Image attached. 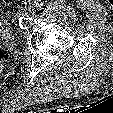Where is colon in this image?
<instances>
[{
  "label": "colon",
  "instance_id": "1",
  "mask_svg": "<svg viewBox=\"0 0 113 113\" xmlns=\"http://www.w3.org/2000/svg\"><path fill=\"white\" fill-rule=\"evenodd\" d=\"M10 59L9 52L3 48H0V68L3 67Z\"/></svg>",
  "mask_w": 113,
  "mask_h": 113
}]
</instances>
